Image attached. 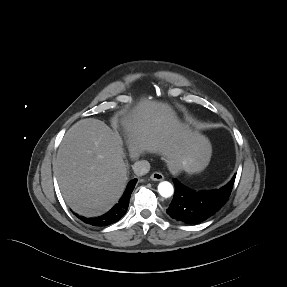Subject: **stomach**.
<instances>
[{
  "label": "stomach",
  "mask_w": 287,
  "mask_h": 287,
  "mask_svg": "<svg viewBox=\"0 0 287 287\" xmlns=\"http://www.w3.org/2000/svg\"><path fill=\"white\" fill-rule=\"evenodd\" d=\"M184 171L189 175L193 174L195 172L193 164L191 163L187 164L184 168Z\"/></svg>",
  "instance_id": "1"
}]
</instances>
